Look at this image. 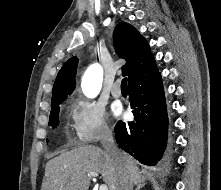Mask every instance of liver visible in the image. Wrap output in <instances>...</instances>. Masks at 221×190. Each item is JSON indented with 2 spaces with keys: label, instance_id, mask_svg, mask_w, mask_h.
Wrapping results in <instances>:
<instances>
[{
  "label": "liver",
  "instance_id": "6515ba94",
  "mask_svg": "<svg viewBox=\"0 0 221 190\" xmlns=\"http://www.w3.org/2000/svg\"><path fill=\"white\" fill-rule=\"evenodd\" d=\"M122 155L132 184H144L136 160L125 152ZM89 172L100 173L109 190H117L121 169L105 150L96 146L79 147L49 160L41 190H88Z\"/></svg>",
  "mask_w": 221,
  "mask_h": 190
}]
</instances>
